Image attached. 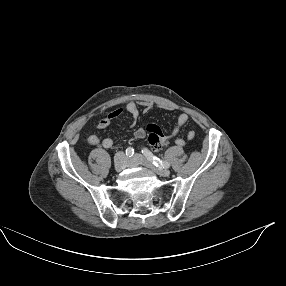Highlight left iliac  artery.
Listing matches in <instances>:
<instances>
[{"label": "left iliac artery", "instance_id": "1", "mask_svg": "<svg viewBox=\"0 0 286 286\" xmlns=\"http://www.w3.org/2000/svg\"><path fill=\"white\" fill-rule=\"evenodd\" d=\"M142 153L146 158L151 161L156 167L169 168L170 164L167 161H162L159 158L155 157L148 149L144 148Z\"/></svg>", "mask_w": 286, "mask_h": 286}]
</instances>
